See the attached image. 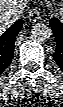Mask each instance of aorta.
I'll use <instances>...</instances> for the list:
<instances>
[{
    "mask_svg": "<svg viewBox=\"0 0 63 107\" xmlns=\"http://www.w3.org/2000/svg\"><path fill=\"white\" fill-rule=\"evenodd\" d=\"M51 34V29L45 24L37 23L32 26L31 37L38 42L47 41Z\"/></svg>",
    "mask_w": 63,
    "mask_h": 107,
    "instance_id": "obj_1",
    "label": "aorta"
}]
</instances>
